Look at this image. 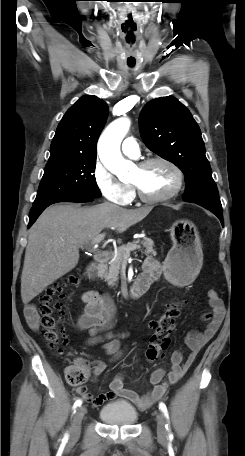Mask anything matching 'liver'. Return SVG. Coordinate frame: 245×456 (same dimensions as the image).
Returning a JSON list of instances; mask_svg holds the SVG:
<instances>
[{"instance_id":"obj_1","label":"liver","mask_w":245,"mask_h":456,"mask_svg":"<svg viewBox=\"0 0 245 456\" xmlns=\"http://www.w3.org/2000/svg\"><path fill=\"white\" fill-rule=\"evenodd\" d=\"M152 207L126 209L104 202L92 207L55 204L48 207L29 230L21 275L24 304L76 267L79 248L104 228L118 233L142 221Z\"/></svg>"}]
</instances>
